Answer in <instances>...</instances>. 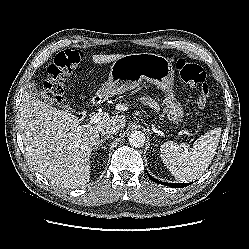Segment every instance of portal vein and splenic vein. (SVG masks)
<instances>
[{
	"instance_id": "obj_1",
	"label": "portal vein and splenic vein",
	"mask_w": 249,
	"mask_h": 249,
	"mask_svg": "<svg viewBox=\"0 0 249 249\" xmlns=\"http://www.w3.org/2000/svg\"><path fill=\"white\" fill-rule=\"evenodd\" d=\"M108 118L107 113L101 112L96 113L92 117H90L89 123L98 124L100 122L105 121Z\"/></svg>"
}]
</instances>
